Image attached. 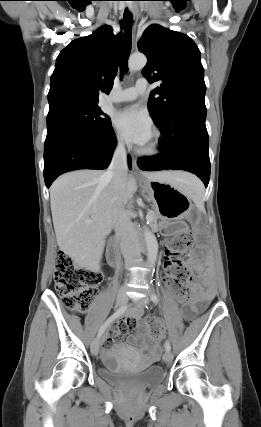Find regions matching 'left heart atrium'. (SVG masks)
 <instances>
[{"mask_svg":"<svg viewBox=\"0 0 261 427\" xmlns=\"http://www.w3.org/2000/svg\"><path fill=\"white\" fill-rule=\"evenodd\" d=\"M114 123L130 144L144 146L152 136L150 117L144 110L136 106L118 112L114 118Z\"/></svg>","mask_w":261,"mask_h":427,"instance_id":"1","label":"left heart atrium"}]
</instances>
